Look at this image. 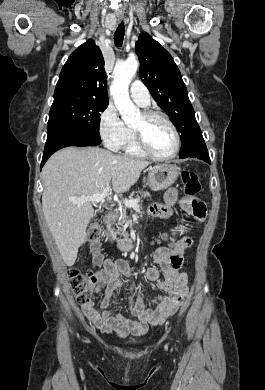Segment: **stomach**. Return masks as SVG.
Returning <instances> with one entry per match:
<instances>
[{
  "instance_id": "obj_1",
  "label": "stomach",
  "mask_w": 265,
  "mask_h": 390,
  "mask_svg": "<svg viewBox=\"0 0 265 390\" xmlns=\"http://www.w3.org/2000/svg\"><path fill=\"white\" fill-rule=\"evenodd\" d=\"M180 171L176 165L155 166L149 170L147 184L153 191L165 190L177 180Z\"/></svg>"
}]
</instances>
